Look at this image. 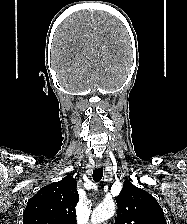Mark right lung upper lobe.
Listing matches in <instances>:
<instances>
[{"instance_id":"cb5924a9","label":"right lung upper lobe","mask_w":187,"mask_h":224,"mask_svg":"<svg viewBox=\"0 0 187 224\" xmlns=\"http://www.w3.org/2000/svg\"><path fill=\"white\" fill-rule=\"evenodd\" d=\"M77 182L67 175L61 181L42 187L28 200L23 224H76L79 201Z\"/></svg>"}]
</instances>
